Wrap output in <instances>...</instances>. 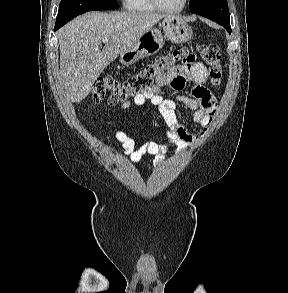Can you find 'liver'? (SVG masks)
<instances>
[{"instance_id":"obj_1","label":"liver","mask_w":288,"mask_h":293,"mask_svg":"<svg viewBox=\"0 0 288 293\" xmlns=\"http://www.w3.org/2000/svg\"><path fill=\"white\" fill-rule=\"evenodd\" d=\"M166 15L88 12L59 30L60 74L68 101H81L103 70ZM104 38L102 51L99 49Z\"/></svg>"}]
</instances>
